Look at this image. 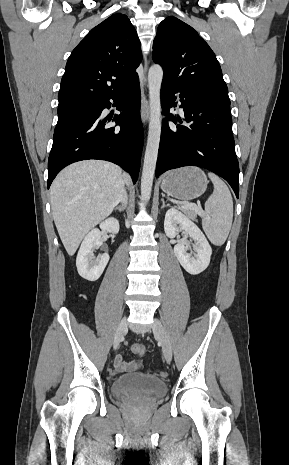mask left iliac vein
Instances as JSON below:
<instances>
[{
	"label": "left iliac vein",
	"instance_id": "left-iliac-vein-1",
	"mask_svg": "<svg viewBox=\"0 0 289 465\" xmlns=\"http://www.w3.org/2000/svg\"><path fill=\"white\" fill-rule=\"evenodd\" d=\"M153 333L155 336L160 340L162 344V349H163V354L165 359L170 362L172 359V345L169 339V336L163 327L162 323L158 320L155 319L153 323Z\"/></svg>",
	"mask_w": 289,
	"mask_h": 465
}]
</instances>
